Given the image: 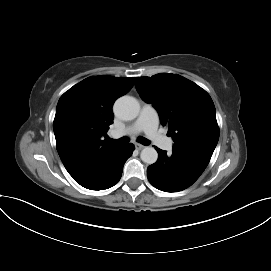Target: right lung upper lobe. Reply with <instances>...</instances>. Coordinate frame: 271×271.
<instances>
[{
  "label": "right lung upper lobe",
  "instance_id": "1",
  "mask_svg": "<svg viewBox=\"0 0 271 271\" xmlns=\"http://www.w3.org/2000/svg\"><path fill=\"white\" fill-rule=\"evenodd\" d=\"M134 79L88 77L59 99L53 122L56 146L75 181L87 176L119 146L106 140L114 118L112 106L132 88Z\"/></svg>",
  "mask_w": 271,
  "mask_h": 271
}]
</instances>
